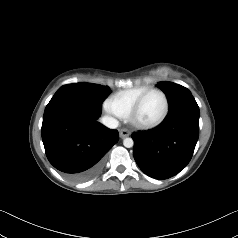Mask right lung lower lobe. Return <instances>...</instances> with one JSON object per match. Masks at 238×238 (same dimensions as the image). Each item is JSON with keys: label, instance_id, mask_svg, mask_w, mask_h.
<instances>
[{"label": "right lung lower lobe", "instance_id": "right-lung-lower-lobe-1", "mask_svg": "<svg viewBox=\"0 0 238 238\" xmlns=\"http://www.w3.org/2000/svg\"><path fill=\"white\" fill-rule=\"evenodd\" d=\"M101 106L71 95L53 97L45 108L42 141L49 162L72 181L96 176L117 130L100 124Z\"/></svg>", "mask_w": 238, "mask_h": 238}]
</instances>
